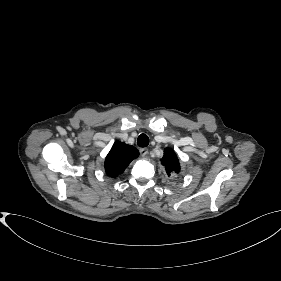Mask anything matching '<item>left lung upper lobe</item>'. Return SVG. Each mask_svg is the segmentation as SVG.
<instances>
[{"mask_svg": "<svg viewBox=\"0 0 281 281\" xmlns=\"http://www.w3.org/2000/svg\"><path fill=\"white\" fill-rule=\"evenodd\" d=\"M163 166L166 168V173L170 176V173L175 172L178 173L180 171L179 161L175 152L170 149L166 148L164 150V156L161 159Z\"/></svg>", "mask_w": 281, "mask_h": 281, "instance_id": "obj_1", "label": "left lung upper lobe"}]
</instances>
